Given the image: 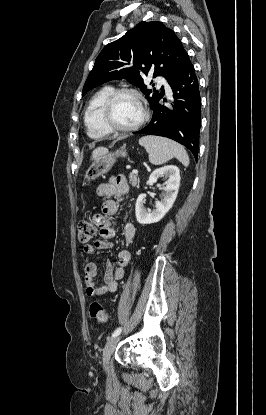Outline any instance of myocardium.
Wrapping results in <instances>:
<instances>
[{"label": "myocardium", "instance_id": "f54148a6", "mask_svg": "<svg viewBox=\"0 0 266 415\" xmlns=\"http://www.w3.org/2000/svg\"><path fill=\"white\" fill-rule=\"evenodd\" d=\"M123 94H131L133 95L139 102L141 109H142V116L140 120L135 123L132 126H119L115 123L113 119V107L114 103L117 100V98ZM102 118L105 123V125L112 131L117 133H127V132H133L138 130L140 127H142L149 118V111L148 108L144 102L143 97L141 94L133 88L123 87L113 90V92L108 96L106 99L103 110H102Z\"/></svg>", "mask_w": 266, "mask_h": 415}]
</instances>
